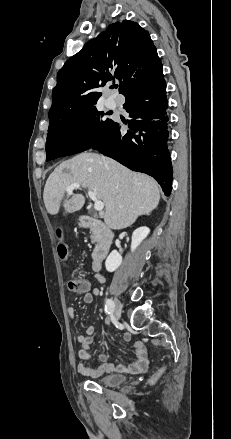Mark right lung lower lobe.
I'll use <instances>...</instances> for the list:
<instances>
[{"label": "right lung lower lobe", "instance_id": "98d812e1", "mask_svg": "<svg viewBox=\"0 0 231 439\" xmlns=\"http://www.w3.org/2000/svg\"><path fill=\"white\" fill-rule=\"evenodd\" d=\"M128 130L113 122L91 148L131 170L154 177L166 196L172 188V165L167 149V98L164 77L147 83L126 96Z\"/></svg>", "mask_w": 231, "mask_h": 439}]
</instances>
